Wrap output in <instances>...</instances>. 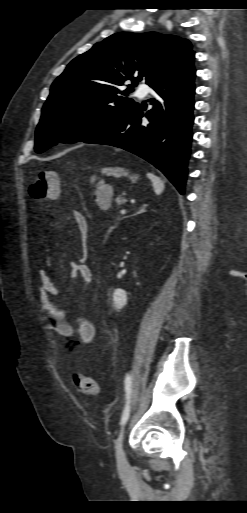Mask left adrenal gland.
I'll list each match as a JSON object with an SVG mask.
<instances>
[{
    "label": "left adrenal gland",
    "mask_w": 247,
    "mask_h": 513,
    "mask_svg": "<svg viewBox=\"0 0 247 513\" xmlns=\"http://www.w3.org/2000/svg\"><path fill=\"white\" fill-rule=\"evenodd\" d=\"M147 206H148L147 204H143V205L139 208V211L137 212V214H141V213L146 212V207H147ZM124 218H125V217H124ZM124 218H121V220H122V219H124Z\"/></svg>",
    "instance_id": "a2214340"
}]
</instances>
